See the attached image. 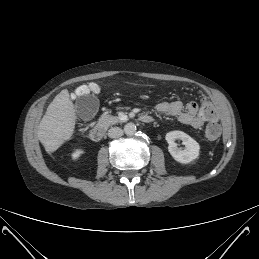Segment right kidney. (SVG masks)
I'll list each match as a JSON object with an SVG mask.
<instances>
[{
	"label": "right kidney",
	"mask_w": 259,
	"mask_h": 259,
	"mask_svg": "<svg viewBox=\"0 0 259 259\" xmlns=\"http://www.w3.org/2000/svg\"><path fill=\"white\" fill-rule=\"evenodd\" d=\"M83 153L84 151L82 149H77L72 153V159L77 160Z\"/></svg>",
	"instance_id": "1"
}]
</instances>
